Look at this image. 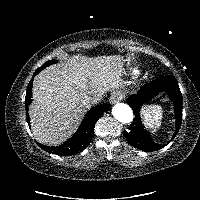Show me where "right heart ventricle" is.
I'll return each mask as SVG.
<instances>
[{"mask_svg": "<svg viewBox=\"0 0 200 200\" xmlns=\"http://www.w3.org/2000/svg\"><path fill=\"white\" fill-rule=\"evenodd\" d=\"M136 73H138V71H137V70H134V74H136Z\"/></svg>", "mask_w": 200, "mask_h": 200, "instance_id": "e07e8e85", "label": "right heart ventricle"}]
</instances>
